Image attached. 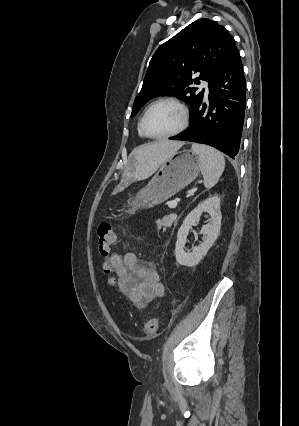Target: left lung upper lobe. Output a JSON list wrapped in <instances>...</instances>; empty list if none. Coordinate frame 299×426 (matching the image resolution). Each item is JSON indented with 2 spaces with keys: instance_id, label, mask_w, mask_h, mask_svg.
Instances as JSON below:
<instances>
[{
  "instance_id": "left-lung-upper-lobe-1",
  "label": "left lung upper lobe",
  "mask_w": 299,
  "mask_h": 426,
  "mask_svg": "<svg viewBox=\"0 0 299 426\" xmlns=\"http://www.w3.org/2000/svg\"><path fill=\"white\" fill-rule=\"evenodd\" d=\"M237 49L227 30L210 19H199L185 27L154 53L142 89L134 101L131 116L156 96H177L196 112L203 101L204 90L191 87L199 80L212 81L218 70ZM194 75H198L192 79Z\"/></svg>"
}]
</instances>
